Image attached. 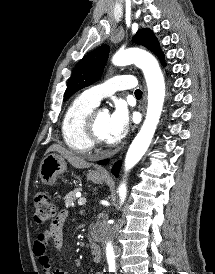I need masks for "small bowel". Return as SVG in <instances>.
Returning <instances> with one entry per match:
<instances>
[{"instance_id": "small-bowel-1", "label": "small bowel", "mask_w": 215, "mask_h": 274, "mask_svg": "<svg viewBox=\"0 0 215 274\" xmlns=\"http://www.w3.org/2000/svg\"><path fill=\"white\" fill-rule=\"evenodd\" d=\"M67 213L60 212L54 219L50 227L37 234L34 242V254L42 266L45 274H76L69 273L60 269H53L51 258L47 252L49 243H52L54 248L60 251L63 247V225L66 221ZM100 274V273H97Z\"/></svg>"}]
</instances>
